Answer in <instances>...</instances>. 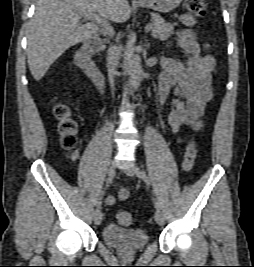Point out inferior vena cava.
Here are the masks:
<instances>
[{
    "mask_svg": "<svg viewBox=\"0 0 254 267\" xmlns=\"http://www.w3.org/2000/svg\"><path fill=\"white\" fill-rule=\"evenodd\" d=\"M118 64V51L117 46L110 45L107 53V68H108V76L109 81L111 84V88L114 89V75H115V69Z\"/></svg>",
    "mask_w": 254,
    "mask_h": 267,
    "instance_id": "1",
    "label": "inferior vena cava"
}]
</instances>
